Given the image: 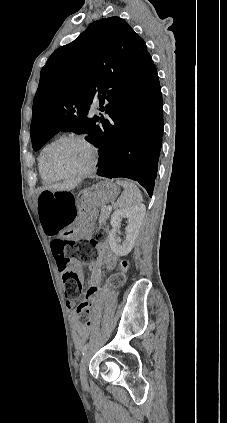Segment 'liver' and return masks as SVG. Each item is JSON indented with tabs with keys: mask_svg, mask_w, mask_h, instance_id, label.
I'll return each mask as SVG.
<instances>
[{
	"mask_svg": "<svg viewBox=\"0 0 227 423\" xmlns=\"http://www.w3.org/2000/svg\"><path fill=\"white\" fill-rule=\"evenodd\" d=\"M75 184L72 182H61V184H52V186H45L43 190H53V192H68L74 190Z\"/></svg>",
	"mask_w": 227,
	"mask_h": 423,
	"instance_id": "obj_1",
	"label": "liver"
}]
</instances>
